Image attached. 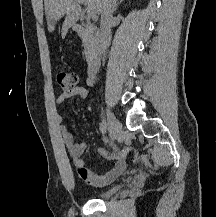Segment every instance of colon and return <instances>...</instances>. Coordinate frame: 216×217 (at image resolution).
Instances as JSON below:
<instances>
[{"instance_id": "colon-1", "label": "colon", "mask_w": 216, "mask_h": 217, "mask_svg": "<svg viewBox=\"0 0 216 217\" xmlns=\"http://www.w3.org/2000/svg\"><path fill=\"white\" fill-rule=\"evenodd\" d=\"M56 81L63 90L69 91L77 86L78 75L75 72L59 70L56 73Z\"/></svg>"}]
</instances>
